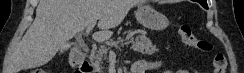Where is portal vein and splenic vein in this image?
I'll return each mask as SVG.
<instances>
[{
    "label": "portal vein and splenic vein",
    "mask_w": 244,
    "mask_h": 73,
    "mask_svg": "<svg viewBox=\"0 0 244 73\" xmlns=\"http://www.w3.org/2000/svg\"><path fill=\"white\" fill-rule=\"evenodd\" d=\"M95 24H96L95 22H92V23L88 24V26L86 27V33H85L86 36L89 35L90 31L94 28ZM128 44H129L128 42L125 43V45H128ZM93 45L96 46V44H93ZM109 55H115V52L113 50H110L109 51Z\"/></svg>",
    "instance_id": "obj_1"
}]
</instances>
